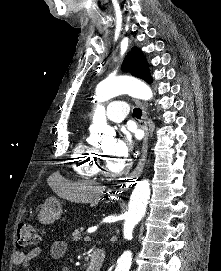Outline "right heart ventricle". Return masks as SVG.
<instances>
[{
    "mask_svg": "<svg viewBox=\"0 0 221 271\" xmlns=\"http://www.w3.org/2000/svg\"><path fill=\"white\" fill-rule=\"evenodd\" d=\"M78 147H85V142H78ZM71 163L83 164L82 166H75V172H78V176L90 179L92 176L98 175L99 166L95 161H91V158H88V154H73Z\"/></svg>",
    "mask_w": 221,
    "mask_h": 271,
    "instance_id": "obj_1",
    "label": "right heart ventricle"
}]
</instances>
